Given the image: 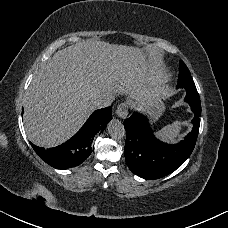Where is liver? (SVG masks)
I'll return each instance as SVG.
<instances>
[{"mask_svg":"<svg viewBox=\"0 0 228 228\" xmlns=\"http://www.w3.org/2000/svg\"><path fill=\"white\" fill-rule=\"evenodd\" d=\"M86 41L58 51L40 68L25 93L24 126L38 146L53 147L71 137L92 112L89 95L130 93L136 103L164 100L157 89V52ZM143 57L146 59L143 60ZM144 71L150 93L140 91Z\"/></svg>","mask_w":228,"mask_h":228,"instance_id":"6515ba94","label":"liver"}]
</instances>
